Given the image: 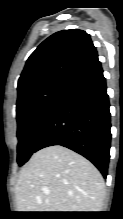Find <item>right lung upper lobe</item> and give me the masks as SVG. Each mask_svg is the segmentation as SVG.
<instances>
[{
  "mask_svg": "<svg viewBox=\"0 0 123 219\" xmlns=\"http://www.w3.org/2000/svg\"><path fill=\"white\" fill-rule=\"evenodd\" d=\"M96 61V48L85 31L69 29L56 32L28 58L18 80V98L47 83L68 82Z\"/></svg>",
  "mask_w": 123,
  "mask_h": 219,
  "instance_id": "obj_1",
  "label": "right lung upper lobe"
}]
</instances>
